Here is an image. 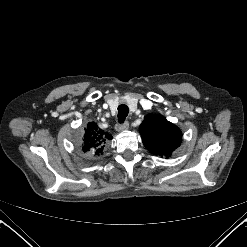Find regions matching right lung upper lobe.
Returning a JSON list of instances; mask_svg holds the SVG:
<instances>
[{"label":"right lung upper lobe","mask_w":247,"mask_h":247,"mask_svg":"<svg viewBox=\"0 0 247 247\" xmlns=\"http://www.w3.org/2000/svg\"><path fill=\"white\" fill-rule=\"evenodd\" d=\"M111 138L112 136L101 129L97 123L89 122L84 128L79 148L83 153L98 156L102 153L107 140Z\"/></svg>","instance_id":"obj_1"}]
</instances>
